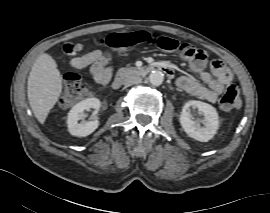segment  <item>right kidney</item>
Listing matches in <instances>:
<instances>
[{
    "label": "right kidney",
    "mask_w": 270,
    "mask_h": 213,
    "mask_svg": "<svg viewBox=\"0 0 270 213\" xmlns=\"http://www.w3.org/2000/svg\"><path fill=\"white\" fill-rule=\"evenodd\" d=\"M101 102L97 98H87L75 104L68 113L67 125L71 135L77 137H85L93 133L99 126L98 120L89 122H80L78 120L83 117L84 110L94 108L98 112Z\"/></svg>",
    "instance_id": "obj_1"
}]
</instances>
